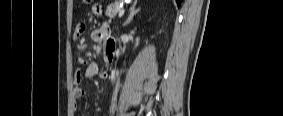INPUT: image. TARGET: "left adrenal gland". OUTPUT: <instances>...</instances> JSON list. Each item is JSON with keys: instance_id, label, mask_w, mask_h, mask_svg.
Instances as JSON below:
<instances>
[{"instance_id": "obj_1", "label": "left adrenal gland", "mask_w": 283, "mask_h": 116, "mask_svg": "<svg viewBox=\"0 0 283 116\" xmlns=\"http://www.w3.org/2000/svg\"><path fill=\"white\" fill-rule=\"evenodd\" d=\"M136 4H137V1H135L133 3V5L131 6L130 11H129V15H128L126 21L123 23V26H127L128 24H130L134 15H136L140 11V8L136 9Z\"/></svg>"}]
</instances>
